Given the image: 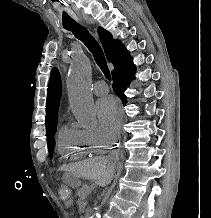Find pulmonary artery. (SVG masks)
Listing matches in <instances>:
<instances>
[{
    "label": "pulmonary artery",
    "instance_id": "1",
    "mask_svg": "<svg viewBox=\"0 0 211 218\" xmlns=\"http://www.w3.org/2000/svg\"><path fill=\"white\" fill-rule=\"evenodd\" d=\"M94 93L98 96H104L108 94L109 87L107 83L103 80L97 81L93 86Z\"/></svg>",
    "mask_w": 211,
    "mask_h": 218
}]
</instances>
